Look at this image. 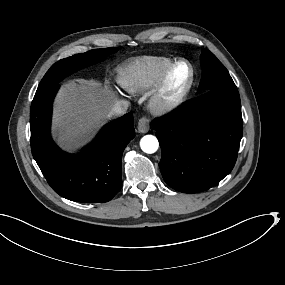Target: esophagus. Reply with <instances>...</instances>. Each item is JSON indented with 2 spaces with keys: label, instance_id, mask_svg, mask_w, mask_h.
I'll list each match as a JSON object with an SVG mask.
<instances>
[{
  "label": "esophagus",
  "instance_id": "34e87169",
  "mask_svg": "<svg viewBox=\"0 0 285 285\" xmlns=\"http://www.w3.org/2000/svg\"><path fill=\"white\" fill-rule=\"evenodd\" d=\"M137 129L139 133H147L150 130L149 120L145 117L138 122Z\"/></svg>",
  "mask_w": 285,
  "mask_h": 285
}]
</instances>
